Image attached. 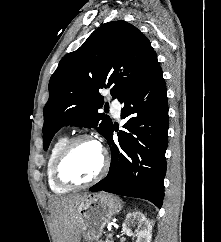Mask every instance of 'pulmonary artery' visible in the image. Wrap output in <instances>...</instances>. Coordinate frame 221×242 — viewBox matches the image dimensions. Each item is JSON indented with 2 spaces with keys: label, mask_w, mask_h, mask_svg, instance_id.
I'll return each instance as SVG.
<instances>
[{
  "label": "pulmonary artery",
  "mask_w": 221,
  "mask_h": 242,
  "mask_svg": "<svg viewBox=\"0 0 221 242\" xmlns=\"http://www.w3.org/2000/svg\"><path fill=\"white\" fill-rule=\"evenodd\" d=\"M111 109H112L113 116L116 118H119L121 113V105L118 102H113L111 104Z\"/></svg>",
  "instance_id": "1"
}]
</instances>
